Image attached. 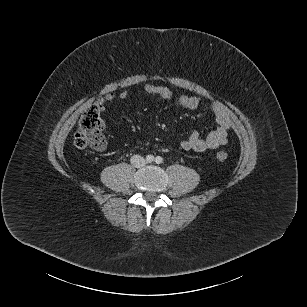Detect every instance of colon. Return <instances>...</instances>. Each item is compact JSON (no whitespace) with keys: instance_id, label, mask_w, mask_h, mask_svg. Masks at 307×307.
<instances>
[{"instance_id":"1","label":"colon","mask_w":307,"mask_h":307,"mask_svg":"<svg viewBox=\"0 0 307 307\" xmlns=\"http://www.w3.org/2000/svg\"><path fill=\"white\" fill-rule=\"evenodd\" d=\"M104 123L100 117L99 109L93 105L85 110L81 116L77 130L74 134V145L79 149L87 147L102 151L106 147V140L103 134ZM217 159L224 162L227 159L225 151L217 153Z\"/></svg>"}]
</instances>
